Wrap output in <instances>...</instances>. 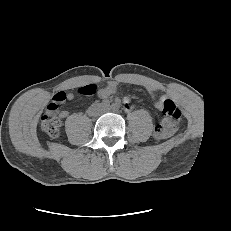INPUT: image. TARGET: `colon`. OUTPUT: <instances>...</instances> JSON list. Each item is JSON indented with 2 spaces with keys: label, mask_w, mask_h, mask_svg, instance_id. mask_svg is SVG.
<instances>
[{
  "label": "colon",
  "mask_w": 231,
  "mask_h": 231,
  "mask_svg": "<svg viewBox=\"0 0 231 231\" xmlns=\"http://www.w3.org/2000/svg\"><path fill=\"white\" fill-rule=\"evenodd\" d=\"M79 92L83 95H92L95 92V85H85L79 89ZM58 100V97L53 98V101L47 106L46 113L41 121L42 130L51 138H58L61 132V121L56 115ZM161 109L167 118L156 129V135L160 138L167 136L173 129L174 122L181 118V110L170 99H164Z\"/></svg>",
  "instance_id": "obj_1"
}]
</instances>
